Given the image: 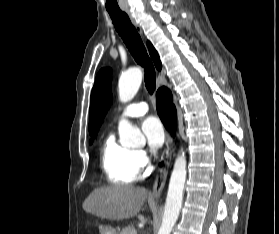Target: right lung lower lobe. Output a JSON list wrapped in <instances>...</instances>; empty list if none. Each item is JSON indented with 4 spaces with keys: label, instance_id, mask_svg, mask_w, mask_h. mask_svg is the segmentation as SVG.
Returning a JSON list of instances; mask_svg holds the SVG:
<instances>
[{
    "label": "right lung lower lobe",
    "instance_id": "right-lung-lower-lobe-1",
    "mask_svg": "<svg viewBox=\"0 0 279 234\" xmlns=\"http://www.w3.org/2000/svg\"><path fill=\"white\" fill-rule=\"evenodd\" d=\"M172 102L171 92L165 87L159 88L156 93L157 112L165 127L168 130L171 129V134L174 135L177 116L175 105Z\"/></svg>",
    "mask_w": 279,
    "mask_h": 234
}]
</instances>
